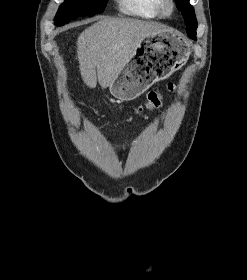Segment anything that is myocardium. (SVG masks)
I'll list each match as a JSON object with an SVG mask.
<instances>
[{"label": "myocardium", "instance_id": "obj_1", "mask_svg": "<svg viewBox=\"0 0 247 280\" xmlns=\"http://www.w3.org/2000/svg\"><path fill=\"white\" fill-rule=\"evenodd\" d=\"M157 9L162 17H171L175 10L176 4L174 0H157Z\"/></svg>", "mask_w": 247, "mask_h": 280}]
</instances>
